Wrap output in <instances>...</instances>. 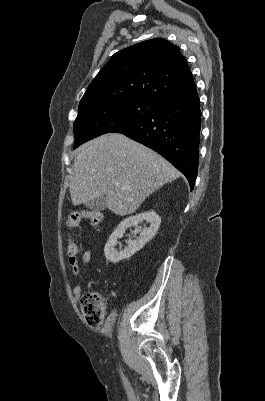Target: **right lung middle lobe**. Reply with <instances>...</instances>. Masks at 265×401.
I'll return each instance as SVG.
<instances>
[{"label":"right lung middle lobe","instance_id":"1","mask_svg":"<svg viewBox=\"0 0 265 401\" xmlns=\"http://www.w3.org/2000/svg\"><path fill=\"white\" fill-rule=\"evenodd\" d=\"M158 104L157 101L143 98H111L79 106L73 125L74 148L151 115Z\"/></svg>","mask_w":265,"mask_h":401}]
</instances>
